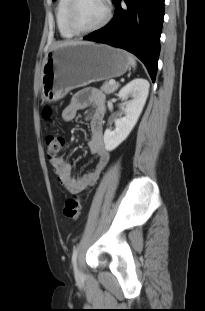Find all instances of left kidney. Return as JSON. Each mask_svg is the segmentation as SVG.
Wrapping results in <instances>:
<instances>
[{
  "instance_id": "1",
  "label": "left kidney",
  "mask_w": 205,
  "mask_h": 311,
  "mask_svg": "<svg viewBox=\"0 0 205 311\" xmlns=\"http://www.w3.org/2000/svg\"><path fill=\"white\" fill-rule=\"evenodd\" d=\"M149 82L143 78H136L125 85L118 93L119 98L127 100L123 111L125 116L115 119V130L107 129L104 133V144L107 151L118 147L130 134L143 110L149 93Z\"/></svg>"
}]
</instances>
